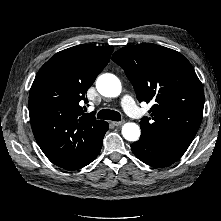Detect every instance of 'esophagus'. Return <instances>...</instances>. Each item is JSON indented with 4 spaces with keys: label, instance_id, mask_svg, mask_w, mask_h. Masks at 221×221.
<instances>
[{
    "label": "esophagus",
    "instance_id": "1",
    "mask_svg": "<svg viewBox=\"0 0 221 221\" xmlns=\"http://www.w3.org/2000/svg\"><path fill=\"white\" fill-rule=\"evenodd\" d=\"M124 123H125L124 120L119 121V122H112V124H113L114 126H121V125H123Z\"/></svg>",
    "mask_w": 221,
    "mask_h": 221
}]
</instances>
